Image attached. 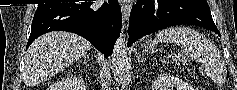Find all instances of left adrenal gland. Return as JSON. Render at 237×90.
Instances as JSON below:
<instances>
[{
  "label": "left adrenal gland",
  "mask_w": 237,
  "mask_h": 90,
  "mask_svg": "<svg viewBox=\"0 0 237 90\" xmlns=\"http://www.w3.org/2000/svg\"><path fill=\"white\" fill-rule=\"evenodd\" d=\"M137 60H138V62H144V60H146V58H140V56H138Z\"/></svg>",
  "instance_id": "left-adrenal-gland-1"
}]
</instances>
